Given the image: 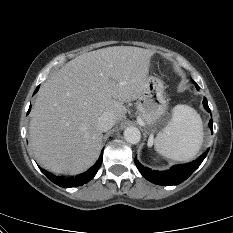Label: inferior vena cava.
<instances>
[{"label":"inferior vena cava","instance_id":"1","mask_svg":"<svg viewBox=\"0 0 233 233\" xmlns=\"http://www.w3.org/2000/svg\"><path fill=\"white\" fill-rule=\"evenodd\" d=\"M115 123V116L112 113L105 112L99 117L97 126L100 131L106 132L107 130L111 129Z\"/></svg>","mask_w":233,"mask_h":233}]
</instances>
